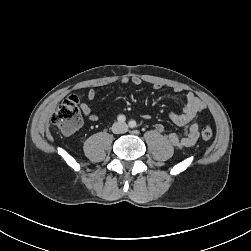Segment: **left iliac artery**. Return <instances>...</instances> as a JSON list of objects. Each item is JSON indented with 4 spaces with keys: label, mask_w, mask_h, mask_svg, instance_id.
<instances>
[{
    "label": "left iliac artery",
    "mask_w": 251,
    "mask_h": 251,
    "mask_svg": "<svg viewBox=\"0 0 251 251\" xmlns=\"http://www.w3.org/2000/svg\"><path fill=\"white\" fill-rule=\"evenodd\" d=\"M128 124H129L130 128H135L136 127V121H134V120L129 121Z\"/></svg>",
    "instance_id": "44dca946"
}]
</instances>
